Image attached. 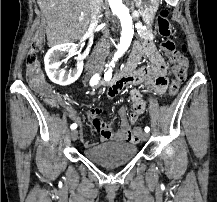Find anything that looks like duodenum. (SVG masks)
Listing matches in <instances>:
<instances>
[{
  "instance_id": "duodenum-1",
  "label": "duodenum",
  "mask_w": 217,
  "mask_h": 202,
  "mask_svg": "<svg viewBox=\"0 0 217 202\" xmlns=\"http://www.w3.org/2000/svg\"><path fill=\"white\" fill-rule=\"evenodd\" d=\"M138 59H139L138 54L133 51L124 68L118 71L116 75H114L112 78L99 83L97 86L103 85V86L110 87L116 82H118L119 80L130 77L133 74V70L138 62Z\"/></svg>"
}]
</instances>
